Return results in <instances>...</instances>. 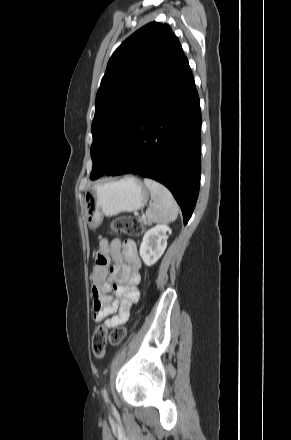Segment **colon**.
<instances>
[{"label": "colon", "mask_w": 291, "mask_h": 440, "mask_svg": "<svg viewBox=\"0 0 291 440\" xmlns=\"http://www.w3.org/2000/svg\"><path fill=\"white\" fill-rule=\"evenodd\" d=\"M112 229L115 233H126L128 235L139 237L144 233L142 223L133 216H121L112 222ZM125 330L117 328L113 330L110 335V341L113 344L120 343L125 337ZM107 334L104 327H99L93 333L91 338L92 352L97 358H103L105 355V348L107 343Z\"/></svg>", "instance_id": "obj_1"}]
</instances>
